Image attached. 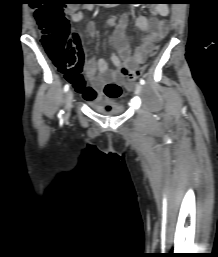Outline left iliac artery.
I'll return each instance as SVG.
<instances>
[{"label": "left iliac artery", "mask_w": 218, "mask_h": 257, "mask_svg": "<svg viewBox=\"0 0 218 257\" xmlns=\"http://www.w3.org/2000/svg\"><path fill=\"white\" fill-rule=\"evenodd\" d=\"M140 84L144 85L145 84V80L144 79H140Z\"/></svg>", "instance_id": "44dca946"}]
</instances>
